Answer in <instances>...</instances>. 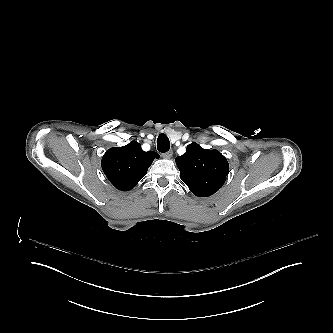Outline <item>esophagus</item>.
I'll return each mask as SVG.
<instances>
[{"instance_id":"obj_1","label":"esophagus","mask_w":333,"mask_h":333,"mask_svg":"<svg viewBox=\"0 0 333 333\" xmlns=\"http://www.w3.org/2000/svg\"><path fill=\"white\" fill-rule=\"evenodd\" d=\"M172 155H173V151L170 150V151L164 153L162 156H163L164 158H166V159H169V158L172 157Z\"/></svg>"}]
</instances>
